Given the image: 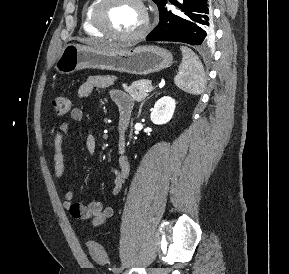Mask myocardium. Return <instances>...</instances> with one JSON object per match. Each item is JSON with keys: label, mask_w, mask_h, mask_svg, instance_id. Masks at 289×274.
Wrapping results in <instances>:
<instances>
[{"label": "myocardium", "mask_w": 289, "mask_h": 274, "mask_svg": "<svg viewBox=\"0 0 289 274\" xmlns=\"http://www.w3.org/2000/svg\"><path fill=\"white\" fill-rule=\"evenodd\" d=\"M119 0H98V2L95 4L93 13H92V22L94 26L105 36L112 38L114 40L118 41H136L139 39H142L150 30L151 27V18L148 11L147 6L145 5L143 0H130L132 2H135L138 4L144 11L145 15V21L143 27L132 34H120L115 31H113L106 23L105 21V13L108 7Z\"/></svg>", "instance_id": "myocardium-1"}]
</instances>
